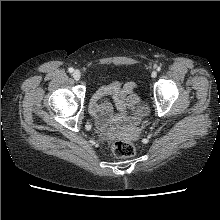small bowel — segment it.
<instances>
[{
    "instance_id": "1",
    "label": "small bowel",
    "mask_w": 220,
    "mask_h": 220,
    "mask_svg": "<svg viewBox=\"0 0 220 220\" xmlns=\"http://www.w3.org/2000/svg\"><path fill=\"white\" fill-rule=\"evenodd\" d=\"M106 95L113 97L119 118L126 117L130 112L138 115L143 109L135 82H127L125 84L112 82L107 86L101 87L92 97L89 111L100 130L104 133H109L111 130L109 121L112 117V105L109 101L102 103L98 101Z\"/></svg>"
}]
</instances>
